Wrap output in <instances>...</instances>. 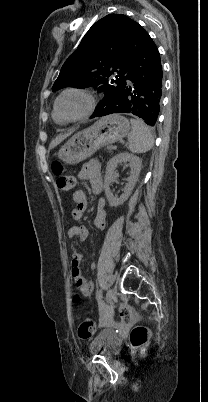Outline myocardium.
<instances>
[{"instance_id":"f54148a6","label":"myocardium","mask_w":208,"mask_h":402,"mask_svg":"<svg viewBox=\"0 0 208 402\" xmlns=\"http://www.w3.org/2000/svg\"><path fill=\"white\" fill-rule=\"evenodd\" d=\"M70 92H78V93H82L85 94L86 96H88L90 98V106L88 108V110L83 113L82 115H79L77 117H73V118H65L63 117L59 111H58V103L60 101V99L67 93ZM97 103H98V97L97 95L90 90L87 89H83V88H79V87H69L64 89L55 99L54 101V105H53V111L55 113V115L60 119V121H62L63 123H71V122H76V121H80L83 119L88 118L89 116H91L97 107Z\"/></svg>"}]
</instances>
